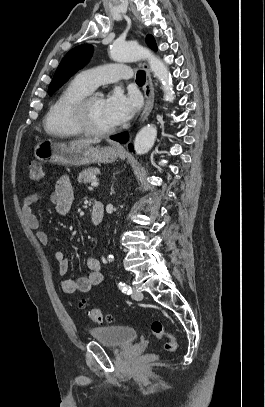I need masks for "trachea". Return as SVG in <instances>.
<instances>
[{
	"label": "trachea",
	"instance_id": "trachea-1",
	"mask_svg": "<svg viewBox=\"0 0 265 407\" xmlns=\"http://www.w3.org/2000/svg\"><path fill=\"white\" fill-rule=\"evenodd\" d=\"M146 80V75L145 72L142 70H139L137 72V77H136V83L137 84H144Z\"/></svg>",
	"mask_w": 265,
	"mask_h": 407
}]
</instances>
